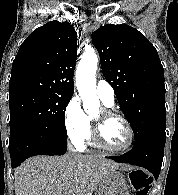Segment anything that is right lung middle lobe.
I'll return each instance as SVG.
<instances>
[{"label":"right lung middle lobe","instance_id":"right-lung-middle-lobe-1","mask_svg":"<svg viewBox=\"0 0 178 195\" xmlns=\"http://www.w3.org/2000/svg\"><path fill=\"white\" fill-rule=\"evenodd\" d=\"M71 98V94L45 91H25L10 96V131L53 127L66 137L65 109Z\"/></svg>","mask_w":178,"mask_h":195}]
</instances>
